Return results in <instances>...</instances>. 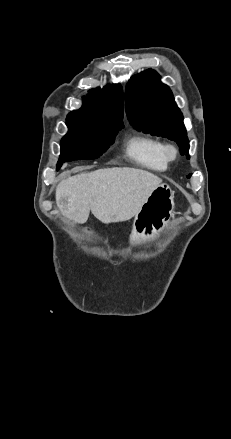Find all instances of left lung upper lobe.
<instances>
[{
    "label": "left lung upper lobe",
    "mask_w": 231,
    "mask_h": 439,
    "mask_svg": "<svg viewBox=\"0 0 231 439\" xmlns=\"http://www.w3.org/2000/svg\"><path fill=\"white\" fill-rule=\"evenodd\" d=\"M125 103L128 120L137 130L175 141L181 155L186 153L190 158L183 115L170 88L160 82L156 71L148 69L129 80Z\"/></svg>",
    "instance_id": "left-lung-upper-lobe-1"
}]
</instances>
